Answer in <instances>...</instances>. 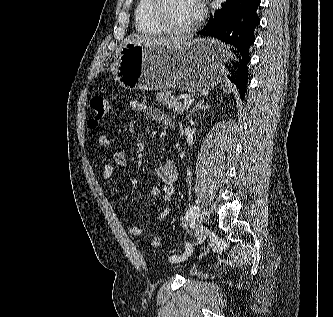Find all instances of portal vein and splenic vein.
I'll return each mask as SVG.
<instances>
[{
	"label": "portal vein and splenic vein",
	"mask_w": 333,
	"mask_h": 317,
	"mask_svg": "<svg viewBox=\"0 0 333 317\" xmlns=\"http://www.w3.org/2000/svg\"><path fill=\"white\" fill-rule=\"evenodd\" d=\"M182 98H183V102H184L185 105L190 106V105H192L193 102H194V100L191 99V98H186V97H182Z\"/></svg>",
	"instance_id": "1"
}]
</instances>
